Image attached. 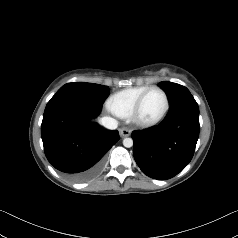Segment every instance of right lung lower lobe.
Masks as SVG:
<instances>
[{"label":"right lung lower lobe","instance_id":"obj_1","mask_svg":"<svg viewBox=\"0 0 238 238\" xmlns=\"http://www.w3.org/2000/svg\"><path fill=\"white\" fill-rule=\"evenodd\" d=\"M101 104L75 93H57L48 102L41 125L45 155L72 181L82 182L101 170L103 156L119 140L94 119Z\"/></svg>","mask_w":238,"mask_h":238}]
</instances>
